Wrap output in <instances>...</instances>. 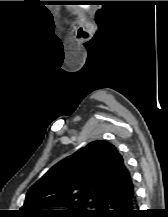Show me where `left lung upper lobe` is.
Segmentation results:
<instances>
[{
	"label": "left lung upper lobe",
	"instance_id": "left-lung-upper-lobe-1",
	"mask_svg": "<svg viewBox=\"0 0 168 217\" xmlns=\"http://www.w3.org/2000/svg\"><path fill=\"white\" fill-rule=\"evenodd\" d=\"M130 179L117 149L106 141H94L58 162L31 186L21 210L30 217H94ZM59 205L70 210H43Z\"/></svg>",
	"mask_w": 168,
	"mask_h": 217
}]
</instances>
